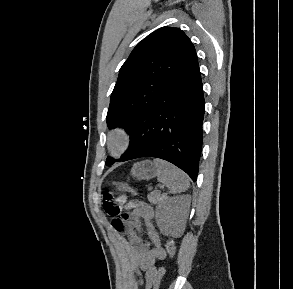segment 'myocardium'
<instances>
[{
    "instance_id": "f54148a6",
    "label": "myocardium",
    "mask_w": 293,
    "mask_h": 289,
    "mask_svg": "<svg viewBox=\"0 0 293 289\" xmlns=\"http://www.w3.org/2000/svg\"><path fill=\"white\" fill-rule=\"evenodd\" d=\"M131 141L130 130L126 126L119 125L109 132L107 148L112 156H120L129 148Z\"/></svg>"
}]
</instances>
